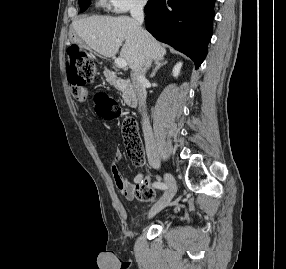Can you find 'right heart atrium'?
Instances as JSON below:
<instances>
[{"label":"right heart atrium","instance_id":"d8ad5b80","mask_svg":"<svg viewBox=\"0 0 286 269\" xmlns=\"http://www.w3.org/2000/svg\"><path fill=\"white\" fill-rule=\"evenodd\" d=\"M109 9L114 13H125L144 8L148 0H106Z\"/></svg>","mask_w":286,"mask_h":269}]
</instances>
